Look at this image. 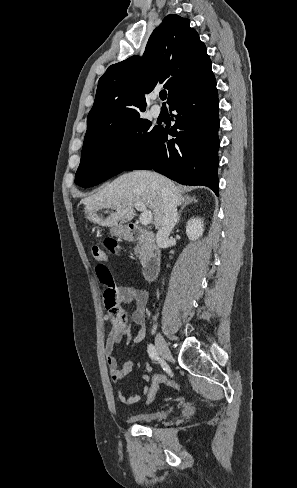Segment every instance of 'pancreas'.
Here are the masks:
<instances>
[{"instance_id":"1","label":"pancreas","mask_w":297,"mask_h":488,"mask_svg":"<svg viewBox=\"0 0 297 488\" xmlns=\"http://www.w3.org/2000/svg\"><path fill=\"white\" fill-rule=\"evenodd\" d=\"M134 251L135 255L140 259L141 264L145 263L149 255V243L146 241L139 242Z\"/></svg>"}]
</instances>
